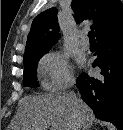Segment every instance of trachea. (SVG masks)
<instances>
[{"instance_id": "3493384b", "label": "trachea", "mask_w": 123, "mask_h": 130, "mask_svg": "<svg viewBox=\"0 0 123 130\" xmlns=\"http://www.w3.org/2000/svg\"><path fill=\"white\" fill-rule=\"evenodd\" d=\"M88 37H89L90 41H95L94 31H90L88 33Z\"/></svg>"}]
</instances>
